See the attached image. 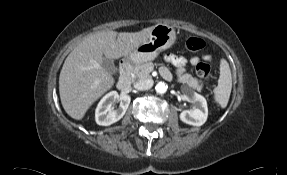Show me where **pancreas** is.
Masks as SVG:
<instances>
[{
  "label": "pancreas",
  "mask_w": 287,
  "mask_h": 175,
  "mask_svg": "<svg viewBox=\"0 0 287 175\" xmlns=\"http://www.w3.org/2000/svg\"><path fill=\"white\" fill-rule=\"evenodd\" d=\"M152 66V62L141 63L133 67L130 73L134 79H147L151 77L149 68ZM178 82L187 84L188 86L198 91H201L203 87L202 81L198 80L197 78L193 77L188 73L178 75Z\"/></svg>",
  "instance_id": "cf45deb5"
}]
</instances>
